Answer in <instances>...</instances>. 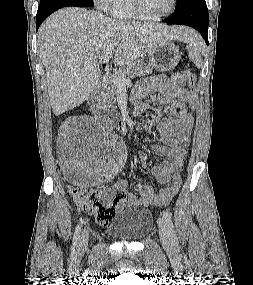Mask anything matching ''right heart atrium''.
Instances as JSON below:
<instances>
[{
    "label": "right heart atrium",
    "instance_id": "1",
    "mask_svg": "<svg viewBox=\"0 0 253 285\" xmlns=\"http://www.w3.org/2000/svg\"><path fill=\"white\" fill-rule=\"evenodd\" d=\"M95 5L101 10H107L112 0H93Z\"/></svg>",
    "mask_w": 253,
    "mask_h": 285
}]
</instances>
